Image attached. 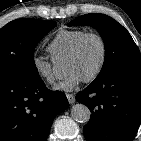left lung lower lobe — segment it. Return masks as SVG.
<instances>
[{"label":"left lung lower lobe","instance_id":"0a47b994","mask_svg":"<svg viewBox=\"0 0 141 141\" xmlns=\"http://www.w3.org/2000/svg\"><path fill=\"white\" fill-rule=\"evenodd\" d=\"M92 112L83 131L87 141H132L141 123V73L93 81L76 96Z\"/></svg>","mask_w":141,"mask_h":141}]
</instances>
